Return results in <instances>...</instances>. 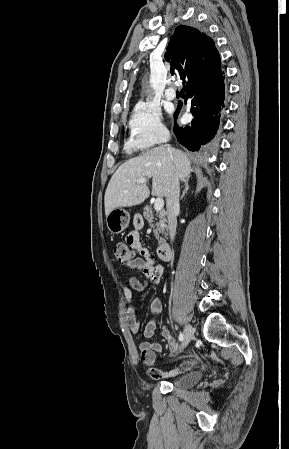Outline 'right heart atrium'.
<instances>
[{
    "label": "right heart atrium",
    "instance_id": "obj_1",
    "mask_svg": "<svg viewBox=\"0 0 289 449\" xmlns=\"http://www.w3.org/2000/svg\"><path fill=\"white\" fill-rule=\"evenodd\" d=\"M129 129V144L136 149L158 145L168 136L160 112L145 103H140L133 109Z\"/></svg>",
    "mask_w": 289,
    "mask_h": 449
}]
</instances>
